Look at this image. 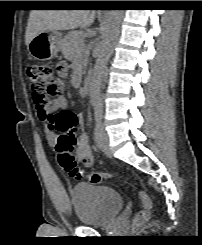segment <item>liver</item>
Here are the masks:
<instances>
[{"label":"liver","mask_w":202,"mask_h":245,"mask_svg":"<svg viewBox=\"0 0 202 245\" xmlns=\"http://www.w3.org/2000/svg\"><path fill=\"white\" fill-rule=\"evenodd\" d=\"M95 19V12L90 10H31L25 43L43 31L72 30L89 27Z\"/></svg>","instance_id":"6515ba94"}]
</instances>
